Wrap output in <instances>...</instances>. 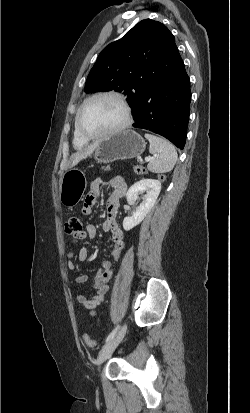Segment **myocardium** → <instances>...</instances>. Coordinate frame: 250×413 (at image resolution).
Segmentation results:
<instances>
[{
    "mask_svg": "<svg viewBox=\"0 0 250 413\" xmlns=\"http://www.w3.org/2000/svg\"><path fill=\"white\" fill-rule=\"evenodd\" d=\"M100 97H110V98H113L116 101H118L120 103V105L123 107V110H124V120L119 126H117L114 129H111L109 131L98 133V134L86 133L82 129V126H81V116H82L83 110L89 102H91L94 99L100 98ZM131 123H132V109H131L130 105L128 104V102L126 101V99L123 97V95H121L120 93L115 92V91H101V92H97V93H94L91 96H89L80 105V107L77 111V114H76V118H75V126H76V130H77L78 134L83 139H86L88 141L89 140L102 139V138L117 135V134L125 131L131 125Z\"/></svg>",
    "mask_w": 250,
    "mask_h": 413,
    "instance_id": "f54148a6",
    "label": "myocardium"
}]
</instances>
